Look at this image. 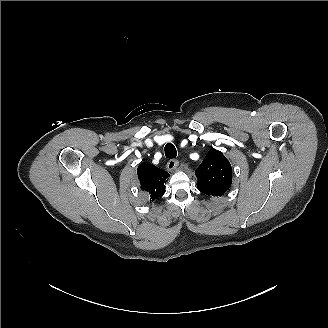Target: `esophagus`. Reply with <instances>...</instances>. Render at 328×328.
<instances>
[{
	"mask_svg": "<svg viewBox=\"0 0 328 328\" xmlns=\"http://www.w3.org/2000/svg\"><path fill=\"white\" fill-rule=\"evenodd\" d=\"M179 165V161L175 158L170 159L167 164H166V168L168 171H174Z\"/></svg>",
	"mask_w": 328,
	"mask_h": 328,
	"instance_id": "1",
	"label": "esophagus"
}]
</instances>
